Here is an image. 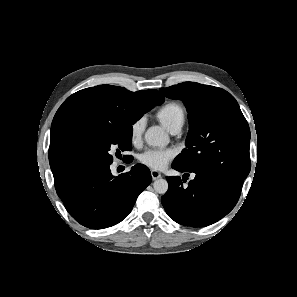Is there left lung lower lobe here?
<instances>
[{"label":"left lung lower lobe","mask_w":297,"mask_h":297,"mask_svg":"<svg viewBox=\"0 0 297 297\" xmlns=\"http://www.w3.org/2000/svg\"><path fill=\"white\" fill-rule=\"evenodd\" d=\"M179 172H189L172 163ZM195 178L187 185L179 176L167 177L169 188L161 202L171 219L182 225L203 227L211 225L236 205L241 189L218 176L193 172Z\"/></svg>","instance_id":"obj_1"}]
</instances>
